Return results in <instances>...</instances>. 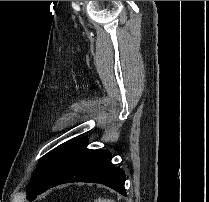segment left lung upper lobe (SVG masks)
Here are the masks:
<instances>
[{
	"instance_id": "5c2ea615",
	"label": "left lung upper lobe",
	"mask_w": 209,
	"mask_h": 202,
	"mask_svg": "<svg viewBox=\"0 0 209 202\" xmlns=\"http://www.w3.org/2000/svg\"><path fill=\"white\" fill-rule=\"evenodd\" d=\"M63 145V144H62ZM58 146L55 148L48 157L44 160V162L41 164L35 175L33 176V179L30 181L28 187H27V198L32 195V193L39 187V185L42 183L43 179L45 178L58 150L62 146Z\"/></svg>"
}]
</instances>
